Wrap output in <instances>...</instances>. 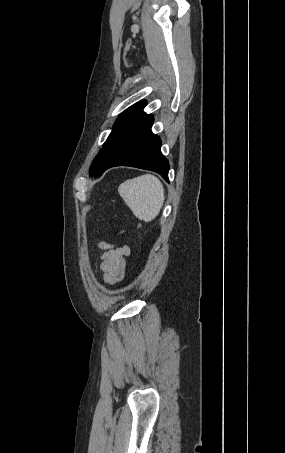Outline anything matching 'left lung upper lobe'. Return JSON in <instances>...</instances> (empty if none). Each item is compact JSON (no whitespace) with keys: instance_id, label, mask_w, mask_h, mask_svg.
I'll list each match as a JSON object with an SVG mask.
<instances>
[{"instance_id":"left-lung-upper-lobe-1","label":"left lung upper lobe","mask_w":285,"mask_h":453,"mask_svg":"<svg viewBox=\"0 0 285 453\" xmlns=\"http://www.w3.org/2000/svg\"><path fill=\"white\" fill-rule=\"evenodd\" d=\"M146 105V101H140L127 110H125L116 120L112 132L105 141L103 148L99 151L93 163L90 167V175L98 176L102 167L107 162L111 151L116 145L121 135L126 129L143 113V108Z\"/></svg>"}]
</instances>
